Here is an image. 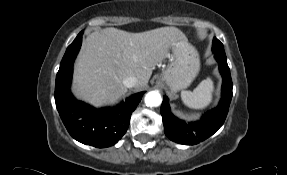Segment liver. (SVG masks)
Masks as SVG:
<instances>
[{"instance_id":"1","label":"liver","mask_w":287,"mask_h":175,"mask_svg":"<svg viewBox=\"0 0 287 175\" xmlns=\"http://www.w3.org/2000/svg\"><path fill=\"white\" fill-rule=\"evenodd\" d=\"M186 39L176 27L141 33L113 27L94 31L86 37L76 60L72 90L96 107L112 104L126 93V77L135 76L136 87H146L155 66L168 56L169 49Z\"/></svg>"}]
</instances>
